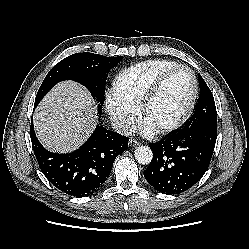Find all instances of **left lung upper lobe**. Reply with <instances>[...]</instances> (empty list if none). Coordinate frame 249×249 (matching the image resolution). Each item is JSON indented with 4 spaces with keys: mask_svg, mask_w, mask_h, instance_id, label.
Returning <instances> with one entry per match:
<instances>
[{
    "mask_svg": "<svg viewBox=\"0 0 249 249\" xmlns=\"http://www.w3.org/2000/svg\"><path fill=\"white\" fill-rule=\"evenodd\" d=\"M200 98L194 114L183 129L206 127L217 129V112L213 95L202 76L198 75Z\"/></svg>",
    "mask_w": 249,
    "mask_h": 249,
    "instance_id": "1",
    "label": "left lung upper lobe"
}]
</instances>
